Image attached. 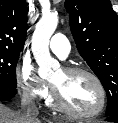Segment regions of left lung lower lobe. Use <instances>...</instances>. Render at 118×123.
<instances>
[{
    "mask_svg": "<svg viewBox=\"0 0 118 123\" xmlns=\"http://www.w3.org/2000/svg\"><path fill=\"white\" fill-rule=\"evenodd\" d=\"M106 121L118 123V114H113L106 118Z\"/></svg>",
    "mask_w": 118,
    "mask_h": 123,
    "instance_id": "0a47b994",
    "label": "left lung lower lobe"
}]
</instances>
